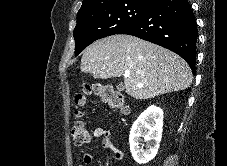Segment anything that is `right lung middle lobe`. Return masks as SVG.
I'll use <instances>...</instances> for the list:
<instances>
[{"label": "right lung middle lobe", "mask_w": 227, "mask_h": 166, "mask_svg": "<svg viewBox=\"0 0 227 166\" xmlns=\"http://www.w3.org/2000/svg\"><path fill=\"white\" fill-rule=\"evenodd\" d=\"M151 7L134 2L77 14V25L74 29L75 55L98 39L118 34L142 18Z\"/></svg>", "instance_id": "right-lung-middle-lobe-1"}]
</instances>
